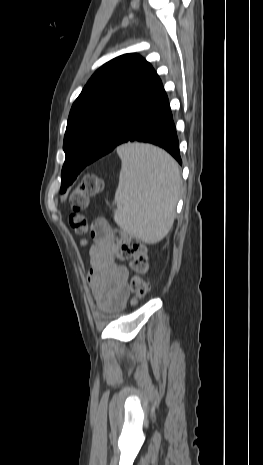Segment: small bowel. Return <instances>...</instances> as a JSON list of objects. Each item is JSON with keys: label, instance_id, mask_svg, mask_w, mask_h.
<instances>
[{"label": "small bowel", "instance_id": "c3829d8e", "mask_svg": "<svg viewBox=\"0 0 263 465\" xmlns=\"http://www.w3.org/2000/svg\"><path fill=\"white\" fill-rule=\"evenodd\" d=\"M94 244L89 251L88 282L98 306L107 312L124 308L129 295L128 270L117 263L119 251L108 228H96L91 234Z\"/></svg>", "mask_w": 263, "mask_h": 465}]
</instances>
